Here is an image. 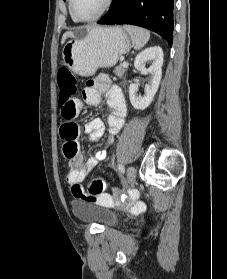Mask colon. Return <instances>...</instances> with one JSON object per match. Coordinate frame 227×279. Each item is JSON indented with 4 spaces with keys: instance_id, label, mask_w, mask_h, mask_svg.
I'll list each match as a JSON object with an SVG mask.
<instances>
[{
    "instance_id": "obj_1",
    "label": "colon",
    "mask_w": 227,
    "mask_h": 279,
    "mask_svg": "<svg viewBox=\"0 0 227 279\" xmlns=\"http://www.w3.org/2000/svg\"><path fill=\"white\" fill-rule=\"evenodd\" d=\"M58 82L61 87L62 100L60 102L61 115L64 120L70 121L77 114L76 93L78 90L77 82L73 73L68 69H60L57 74ZM78 127L73 124L66 123L61 134L63 136V155L67 159H72L77 154L76 137L78 135ZM106 181L103 178H95L89 182L87 187L80 189L73 187L74 196L85 201L96 204H109L111 197L112 203H120L118 197H112L111 194L105 192Z\"/></svg>"
}]
</instances>
